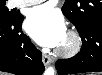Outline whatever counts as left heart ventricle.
I'll return each instance as SVG.
<instances>
[{
  "label": "left heart ventricle",
  "instance_id": "1",
  "mask_svg": "<svg viewBox=\"0 0 102 75\" xmlns=\"http://www.w3.org/2000/svg\"><path fill=\"white\" fill-rule=\"evenodd\" d=\"M66 41H67V40H66V37H65V39L63 40L61 46L65 45V44H66Z\"/></svg>",
  "mask_w": 102,
  "mask_h": 75
}]
</instances>
